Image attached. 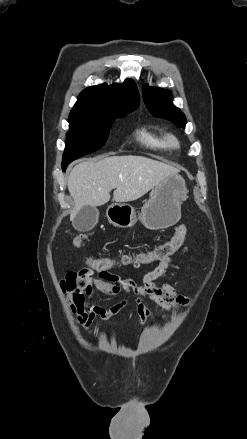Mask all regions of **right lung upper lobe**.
<instances>
[{
  "label": "right lung upper lobe",
  "instance_id": "obj_1",
  "mask_svg": "<svg viewBox=\"0 0 247 439\" xmlns=\"http://www.w3.org/2000/svg\"><path fill=\"white\" fill-rule=\"evenodd\" d=\"M140 97L136 84L127 79L122 84H107L83 90L70 114L109 115L136 109Z\"/></svg>",
  "mask_w": 247,
  "mask_h": 439
}]
</instances>
